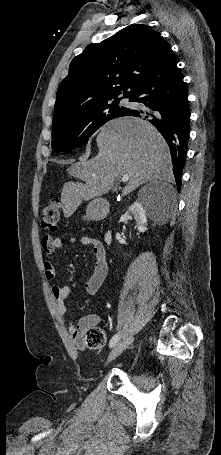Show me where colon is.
<instances>
[{"mask_svg":"<svg viewBox=\"0 0 221 455\" xmlns=\"http://www.w3.org/2000/svg\"><path fill=\"white\" fill-rule=\"evenodd\" d=\"M61 212V202L59 199L51 200L42 211L41 224L42 227L49 231H55ZM105 334L97 327H89L86 331L85 342L91 349H99L105 345Z\"/></svg>","mask_w":221,"mask_h":455,"instance_id":"obj_1","label":"colon"}]
</instances>
